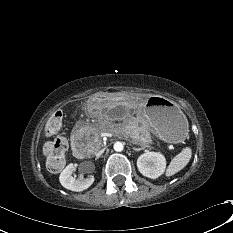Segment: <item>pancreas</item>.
<instances>
[{"mask_svg": "<svg viewBox=\"0 0 233 233\" xmlns=\"http://www.w3.org/2000/svg\"><path fill=\"white\" fill-rule=\"evenodd\" d=\"M89 135H92L89 147L92 152H97L102 145L100 131L92 126L88 127ZM131 140L134 144L140 145L143 148H151L152 138L148 125L143 120L133 121V128L130 130Z\"/></svg>", "mask_w": 233, "mask_h": 233, "instance_id": "pancreas-1", "label": "pancreas"}]
</instances>
